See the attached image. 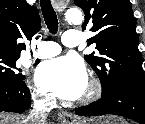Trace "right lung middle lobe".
I'll use <instances>...</instances> for the list:
<instances>
[{
	"instance_id": "right-lung-middle-lobe-1",
	"label": "right lung middle lobe",
	"mask_w": 145,
	"mask_h": 124,
	"mask_svg": "<svg viewBox=\"0 0 145 124\" xmlns=\"http://www.w3.org/2000/svg\"><path fill=\"white\" fill-rule=\"evenodd\" d=\"M20 55L0 52V80L23 81L25 76L22 75L21 69L16 67V61Z\"/></svg>"
}]
</instances>
